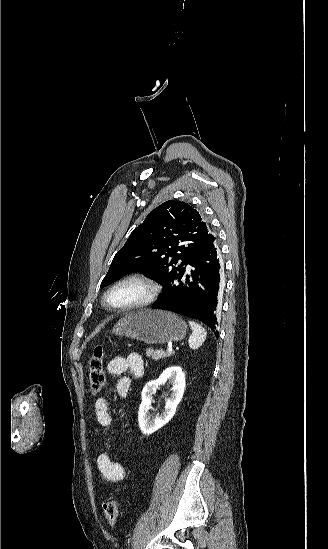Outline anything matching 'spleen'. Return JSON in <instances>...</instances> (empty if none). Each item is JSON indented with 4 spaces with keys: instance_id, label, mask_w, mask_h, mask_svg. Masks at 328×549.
<instances>
[{
    "instance_id": "spleen-1",
    "label": "spleen",
    "mask_w": 328,
    "mask_h": 549,
    "mask_svg": "<svg viewBox=\"0 0 328 549\" xmlns=\"http://www.w3.org/2000/svg\"><path fill=\"white\" fill-rule=\"evenodd\" d=\"M193 333L188 339L190 349H199L202 347L204 341H206L207 333L201 325L194 323V321H188Z\"/></svg>"
}]
</instances>
